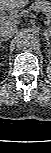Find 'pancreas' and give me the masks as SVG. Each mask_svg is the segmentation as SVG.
Masks as SVG:
<instances>
[{
    "mask_svg": "<svg viewBox=\"0 0 51 153\" xmlns=\"http://www.w3.org/2000/svg\"><path fill=\"white\" fill-rule=\"evenodd\" d=\"M31 9L36 12H43L49 16L51 14V2L47 0H36L32 3Z\"/></svg>",
    "mask_w": 51,
    "mask_h": 153,
    "instance_id": "pancreas-1",
    "label": "pancreas"
}]
</instances>
